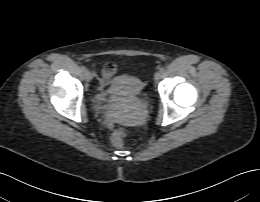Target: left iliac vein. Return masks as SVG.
Wrapping results in <instances>:
<instances>
[{
	"label": "left iliac vein",
	"instance_id": "1",
	"mask_svg": "<svg viewBox=\"0 0 260 202\" xmlns=\"http://www.w3.org/2000/svg\"><path fill=\"white\" fill-rule=\"evenodd\" d=\"M162 78V73L160 71H157L154 75V80L158 82Z\"/></svg>",
	"mask_w": 260,
	"mask_h": 202
}]
</instances>
